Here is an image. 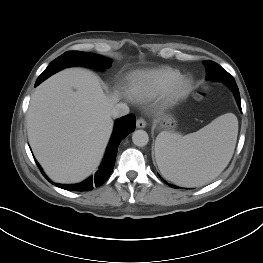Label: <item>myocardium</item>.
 Returning a JSON list of instances; mask_svg holds the SVG:
<instances>
[{
	"label": "myocardium",
	"instance_id": "1",
	"mask_svg": "<svg viewBox=\"0 0 263 263\" xmlns=\"http://www.w3.org/2000/svg\"><path fill=\"white\" fill-rule=\"evenodd\" d=\"M193 79L188 75H181L165 91L166 103H173L187 97L193 89Z\"/></svg>",
	"mask_w": 263,
	"mask_h": 263
}]
</instances>
